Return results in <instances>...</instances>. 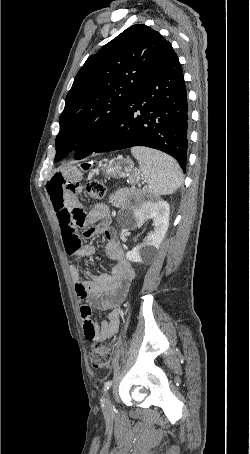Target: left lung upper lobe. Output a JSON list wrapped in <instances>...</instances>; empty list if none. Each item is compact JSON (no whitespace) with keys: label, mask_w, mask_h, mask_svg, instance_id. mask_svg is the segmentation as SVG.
<instances>
[{"label":"left lung upper lobe","mask_w":250,"mask_h":454,"mask_svg":"<svg viewBox=\"0 0 250 454\" xmlns=\"http://www.w3.org/2000/svg\"><path fill=\"white\" fill-rule=\"evenodd\" d=\"M173 53L160 33L136 24L90 56L66 96L55 141V161L63 159L77 143L76 159L91 154L108 136L134 94Z\"/></svg>","instance_id":"left-lung-upper-lobe-1"}]
</instances>
